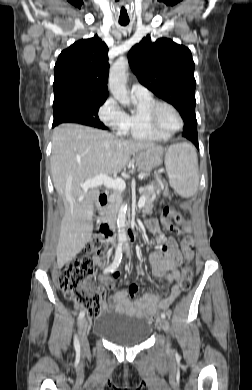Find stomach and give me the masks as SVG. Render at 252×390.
I'll list each match as a JSON object with an SVG mask.
<instances>
[{
  "mask_svg": "<svg viewBox=\"0 0 252 390\" xmlns=\"http://www.w3.org/2000/svg\"><path fill=\"white\" fill-rule=\"evenodd\" d=\"M163 151L149 148L137 152L136 164L138 169L144 173H150L154 168L162 164Z\"/></svg>",
  "mask_w": 252,
  "mask_h": 390,
  "instance_id": "1",
  "label": "stomach"
}]
</instances>
